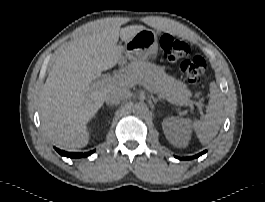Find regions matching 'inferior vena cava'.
I'll use <instances>...</instances> for the list:
<instances>
[{
	"mask_svg": "<svg viewBox=\"0 0 265 202\" xmlns=\"http://www.w3.org/2000/svg\"><path fill=\"white\" fill-rule=\"evenodd\" d=\"M129 95V90L116 86L108 90L105 96V102L108 104L118 105L121 101L127 99Z\"/></svg>",
	"mask_w": 265,
	"mask_h": 202,
	"instance_id": "1",
	"label": "inferior vena cava"
}]
</instances>
